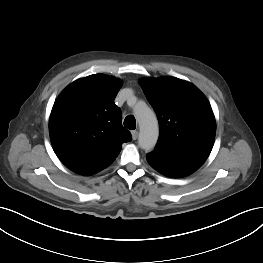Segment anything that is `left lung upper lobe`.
Instances as JSON below:
<instances>
[{
  "mask_svg": "<svg viewBox=\"0 0 263 263\" xmlns=\"http://www.w3.org/2000/svg\"><path fill=\"white\" fill-rule=\"evenodd\" d=\"M139 83L159 120L155 150L207 159L214 144L216 122L204 94L193 84L169 76L145 78Z\"/></svg>",
  "mask_w": 263,
  "mask_h": 263,
  "instance_id": "left-lung-upper-lobe-1",
  "label": "left lung upper lobe"
}]
</instances>
